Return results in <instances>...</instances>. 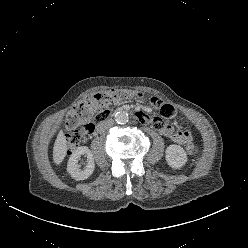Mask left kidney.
<instances>
[{
  "instance_id": "obj_1",
  "label": "left kidney",
  "mask_w": 248,
  "mask_h": 248,
  "mask_svg": "<svg viewBox=\"0 0 248 248\" xmlns=\"http://www.w3.org/2000/svg\"><path fill=\"white\" fill-rule=\"evenodd\" d=\"M166 161L172 168H181L187 162V154L185 150L179 145H169L166 148Z\"/></svg>"
}]
</instances>
